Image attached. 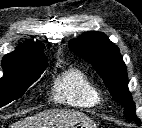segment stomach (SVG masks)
<instances>
[{
	"instance_id": "obj_1",
	"label": "stomach",
	"mask_w": 142,
	"mask_h": 128,
	"mask_svg": "<svg viewBox=\"0 0 142 128\" xmlns=\"http://www.w3.org/2000/svg\"><path fill=\"white\" fill-rule=\"evenodd\" d=\"M73 128H96V125L91 120H87V121L78 123Z\"/></svg>"
}]
</instances>
